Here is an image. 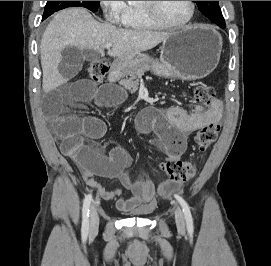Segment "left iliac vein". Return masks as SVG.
<instances>
[{
	"mask_svg": "<svg viewBox=\"0 0 271 266\" xmlns=\"http://www.w3.org/2000/svg\"><path fill=\"white\" fill-rule=\"evenodd\" d=\"M175 222L179 230L181 231L185 230V221H184L183 213L181 209L178 207L175 209Z\"/></svg>",
	"mask_w": 271,
	"mask_h": 266,
	"instance_id": "1",
	"label": "left iliac vein"
}]
</instances>
